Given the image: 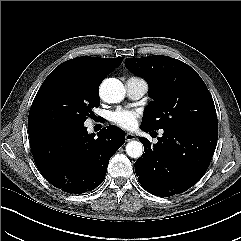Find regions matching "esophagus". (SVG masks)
Segmentation results:
<instances>
[{
  "label": "esophagus",
  "instance_id": "1",
  "mask_svg": "<svg viewBox=\"0 0 241 241\" xmlns=\"http://www.w3.org/2000/svg\"><path fill=\"white\" fill-rule=\"evenodd\" d=\"M134 139H136V136L134 134L126 133V135H125V140L126 141H131V140H134Z\"/></svg>",
  "mask_w": 241,
  "mask_h": 241
}]
</instances>
